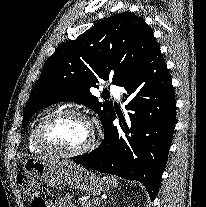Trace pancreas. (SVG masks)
I'll use <instances>...</instances> for the list:
<instances>
[{
	"label": "pancreas",
	"mask_w": 206,
	"mask_h": 207,
	"mask_svg": "<svg viewBox=\"0 0 206 207\" xmlns=\"http://www.w3.org/2000/svg\"><path fill=\"white\" fill-rule=\"evenodd\" d=\"M81 207H95V206L93 202H83Z\"/></svg>",
	"instance_id": "obj_1"
}]
</instances>
